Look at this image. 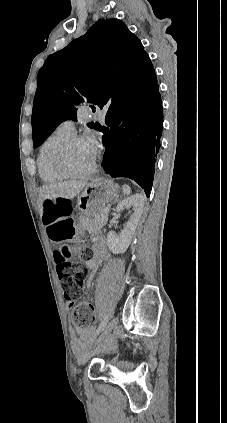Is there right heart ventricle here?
I'll use <instances>...</instances> for the list:
<instances>
[{"label":"right heart ventricle","mask_w":227,"mask_h":423,"mask_svg":"<svg viewBox=\"0 0 227 423\" xmlns=\"http://www.w3.org/2000/svg\"><path fill=\"white\" fill-rule=\"evenodd\" d=\"M72 135L59 127L41 143L37 155V168L40 178L45 183H56L64 179V176L54 166L53 154L57 146Z\"/></svg>","instance_id":"obj_1"}]
</instances>
